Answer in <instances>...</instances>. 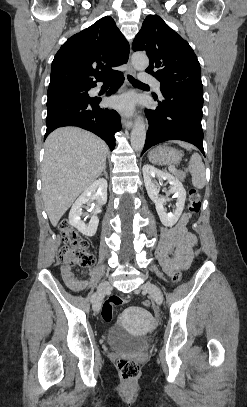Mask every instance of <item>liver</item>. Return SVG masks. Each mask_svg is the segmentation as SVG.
<instances>
[{
	"mask_svg": "<svg viewBox=\"0 0 247 407\" xmlns=\"http://www.w3.org/2000/svg\"><path fill=\"white\" fill-rule=\"evenodd\" d=\"M108 151L103 140L78 127H62L47 137L41 171L42 196L53 226L101 175Z\"/></svg>",
	"mask_w": 247,
	"mask_h": 407,
	"instance_id": "liver-1",
	"label": "liver"
}]
</instances>
